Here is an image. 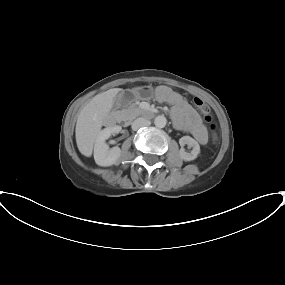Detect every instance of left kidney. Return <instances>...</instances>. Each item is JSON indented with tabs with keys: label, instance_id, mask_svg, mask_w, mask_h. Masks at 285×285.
Wrapping results in <instances>:
<instances>
[{
	"label": "left kidney",
	"instance_id": "1",
	"mask_svg": "<svg viewBox=\"0 0 285 285\" xmlns=\"http://www.w3.org/2000/svg\"><path fill=\"white\" fill-rule=\"evenodd\" d=\"M179 144L181 149L179 151V155L181 159L184 161H192L195 160L200 153V146L196 140H194L190 136H183L179 139ZM187 144L189 148H192L191 152L188 153L184 150L183 146Z\"/></svg>",
	"mask_w": 285,
	"mask_h": 285
}]
</instances>
